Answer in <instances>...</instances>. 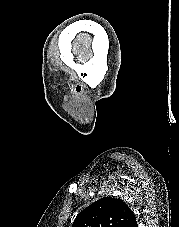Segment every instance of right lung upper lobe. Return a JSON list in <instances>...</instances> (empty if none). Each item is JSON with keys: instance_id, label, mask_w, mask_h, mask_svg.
Masks as SVG:
<instances>
[{"instance_id": "obj_1", "label": "right lung upper lobe", "mask_w": 179, "mask_h": 227, "mask_svg": "<svg viewBox=\"0 0 179 227\" xmlns=\"http://www.w3.org/2000/svg\"><path fill=\"white\" fill-rule=\"evenodd\" d=\"M72 227H138L133 211L121 199L101 198L75 218Z\"/></svg>"}]
</instances>
